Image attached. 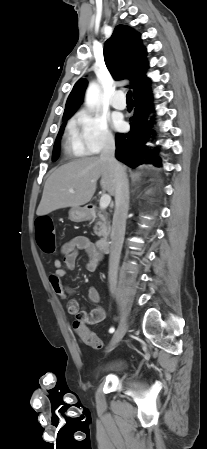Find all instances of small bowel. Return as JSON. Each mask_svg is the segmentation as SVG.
Segmentation results:
<instances>
[{
    "label": "small bowel",
    "mask_w": 207,
    "mask_h": 449,
    "mask_svg": "<svg viewBox=\"0 0 207 449\" xmlns=\"http://www.w3.org/2000/svg\"><path fill=\"white\" fill-rule=\"evenodd\" d=\"M80 251L86 253V269L89 272H95L101 263L102 254L87 236L78 235L64 243L61 248L62 258L54 260L55 271L50 276L51 288L61 298L74 293V290L64 283V278L69 270L75 268ZM87 298L94 305L92 310H80L78 301L72 299L66 305L67 312L90 325L102 322L106 318V312L98 305L100 295L95 287L88 289Z\"/></svg>",
    "instance_id": "1"
}]
</instances>
